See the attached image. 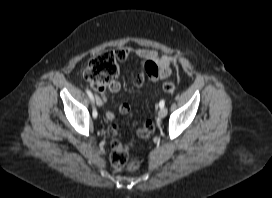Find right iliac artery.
<instances>
[{"label":"right iliac artery","instance_id":"1","mask_svg":"<svg viewBox=\"0 0 272 198\" xmlns=\"http://www.w3.org/2000/svg\"><path fill=\"white\" fill-rule=\"evenodd\" d=\"M86 93L88 94L89 98L91 99L92 103L94 104L95 103V100H94V96L93 94L91 93L90 90L86 89ZM93 117H97V111H96V108L94 107L93 108Z\"/></svg>","mask_w":272,"mask_h":198}]
</instances>
